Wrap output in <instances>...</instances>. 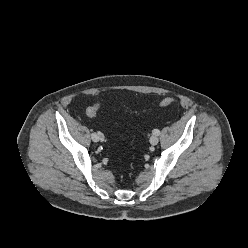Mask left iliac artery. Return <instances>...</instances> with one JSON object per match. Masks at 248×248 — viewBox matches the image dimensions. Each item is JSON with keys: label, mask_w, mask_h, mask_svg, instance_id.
<instances>
[{"label": "left iliac artery", "mask_w": 248, "mask_h": 248, "mask_svg": "<svg viewBox=\"0 0 248 248\" xmlns=\"http://www.w3.org/2000/svg\"><path fill=\"white\" fill-rule=\"evenodd\" d=\"M153 134L156 135V136H158L160 134V131L158 129H154L153 130Z\"/></svg>", "instance_id": "1"}]
</instances>
